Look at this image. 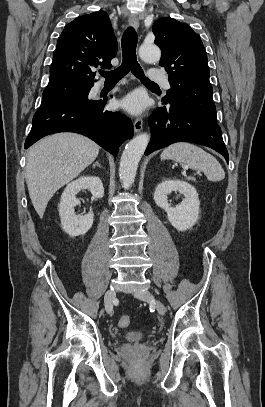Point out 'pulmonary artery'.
<instances>
[{"instance_id":"obj_1","label":"pulmonary artery","mask_w":265,"mask_h":407,"mask_svg":"<svg viewBox=\"0 0 265 407\" xmlns=\"http://www.w3.org/2000/svg\"><path fill=\"white\" fill-rule=\"evenodd\" d=\"M150 81L156 84H161L169 88V83L165 74L160 70H151L149 73Z\"/></svg>"}]
</instances>
